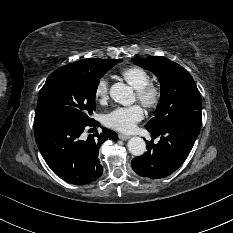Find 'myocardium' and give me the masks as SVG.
Segmentation results:
<instances>
[{"label": "myocardium", "instance_id": "f54148a6", "mask_svg": "<svg viewBox=\"0 0 233 233\" xmlns=\"http://www.w3.org/2000/svg\"><path fill=\"white\" fill-rule=\"evenodd\" d=\"M139 101L147 108L156 107L162 97L161 88L153 83H148L145 87L137 91Z\"/></svg>", "mask_w": 233, "mask_h": 233}]
</instances>
